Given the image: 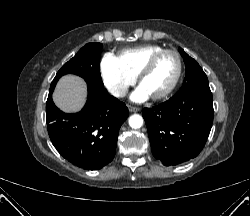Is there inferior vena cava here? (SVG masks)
<instances>
[{
	"mask_svg": "<svg viewBox=\"0 0 250 216\" xmlns=\"http://www.w3.org/2000/svg\"><path fill=\"white\" fill-rule=\"evenodd\" d=\"M109 91L115 97H124L127 94V89L123 87L113 86L109 89Z\"/></svg>",
	"mask_w": 250,
	"mask_h": 216,
	"instance_id": "1",
	"label": "inferior vena cava"
}]
</instances>
